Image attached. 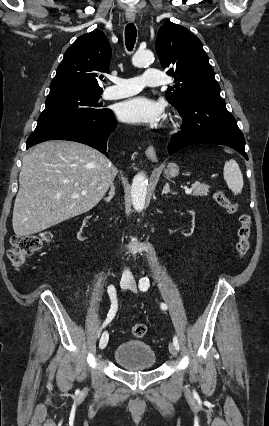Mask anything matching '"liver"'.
Instances as JSON below:
<instances>
[{
    "instance_id": "1",
    "label": "liver",
    "mask_w": 269,
    "mask_h": 426,
    "mask_svg": "<svg viewBox=\"0 0 269 426\" xmlns=\"http://www.w3.org/2000/svg\"><path fill=\"white\" fill-rule=\"evenodd\" d=\"M117 172L105 155L85 144L53 140L36 145L22 161L14 233L35 234L91 210Z\"/></svg>"
}]
</instances>
